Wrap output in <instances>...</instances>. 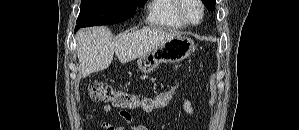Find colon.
I'll return each mask as SVG.
<instances>
[{
	"label": "colon",
	"instance_id": "colon-1",
	"mask_svg": "<svg viewBox=\"0 0 299 130\" xmlns=\"http://www.w3.org/2000/svg\"><path fill=\"white\" fill-rule=\"evenodd\" d=\"M181 86L182 83L177 82L153 97H139L110 85L91 82L88 85V93L94 101L110 102L113 106L122 109L141 107L146 111H151L170 104L180 91Z\"/></svg>",
	"mask_w": 299,
	"mask_h": 130
}]
</instances>
